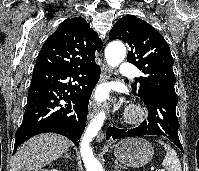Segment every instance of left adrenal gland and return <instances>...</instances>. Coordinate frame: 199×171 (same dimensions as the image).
Segmentation results:
<instances>
[{"instance_id":"1","label":"left adrenal gland","mask_w":199,"mask_h":171,"mask_svg":"<svg viewBox=\"0 0 199 171\" xmlns=\"http://www.w3.org/2000/svg\"><path fill=\"white\" fill-rule=\"evenodd\" d=\"M114 163H115V171H116L118 168H124L122 165H120V164L118 163L117 160H114Z\"/></svg>"}]
</instances>
